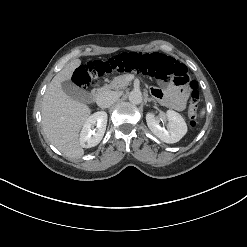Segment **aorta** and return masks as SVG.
<instances>
[{
  "instance_id": "aorta-1",
  "label": "aorta",
  "mask_w": 247,
  "mask_h": 247,
  "mask_svg": "<svg viewBox=\"0 0 247 247\" xmlns=\"http://www.w3.org/2000/svg\"><path fill=\"white\" fill-rule=\"evenodd\" d=\"M129 101L132 104H140L142 102V93L139 90H133L129 93Z\"/></svg>"
}]
</instances>
